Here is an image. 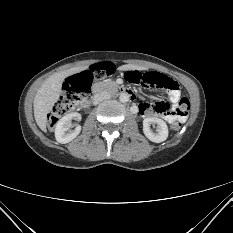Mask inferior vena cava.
Here are the masks:
<instances>
[{
    "label": "inferior vena cava",
    "mask_w": 233,
    "mask_h": 233,
    "mask_svg": "<svg viewBox=\"0 0 233 233\" xmlns=\"http://www.w3.org/2000/svg\"><path fill=\"white\" fill-rule=\"evenodd\" d=\"M111 96L108 92L97 93L93 96V104H98L99 102L109 99Z\"/></svg>",
    "instance_id": "602c4592"
}]
</instances>
